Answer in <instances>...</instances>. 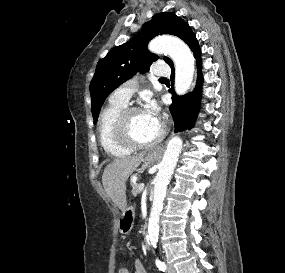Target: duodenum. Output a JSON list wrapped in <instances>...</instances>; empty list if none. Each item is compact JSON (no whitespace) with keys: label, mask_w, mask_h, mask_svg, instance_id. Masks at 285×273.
Returning a JSON list of instances; mask_svg holds the SVG:
<instances>
[{"label":"duodenum","mask_w":285,"mask_h":273,"mask_svg":"<svg viewBox=\"0 0 285 273\" xmlns=\"http://www.w3.org/2000/svg\"><path fill=\"white\" fill-rule=\"evenodd\" d=\"M143 243H144L145 248L148 249L150 242H149V235L147 233H145L143 236Z\"/></svg>","instance_id":"1"}]
</instances>
